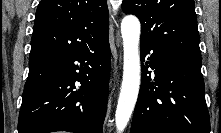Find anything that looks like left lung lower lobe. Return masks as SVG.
<instances>
[{
	"mask_svg": "<svg viewBox=\"0 0 221 133\" xmlns=\"http://www.w3.org/2000/svg\"><path fill=\"white\" fill-rule=\"evenodd\" d=\"M140 49L149 65H142L130 133H210L201 55L144 40Z\"/></svg>",
	"mask_w": 221,
	"mask_h": 133,
	"instance_id": "0a47b994",
	"label": "left lung lower lobe"
}]
</instances>
